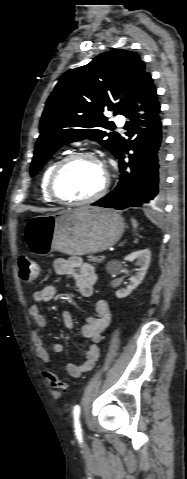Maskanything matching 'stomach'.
<instances>
[{
    "label": "stomach",
    "instance_id": "0dacf381",
    "mask_svg": "<svg viewBox=\"0 0 187 479\" xmlns=\"http://www.w3.org/2000/svg\"><path fill=\"white\" fill-rule=\"evenodd\" d=\"M123 232L124 220L117 212L92 206L33 216L25 224L27 245L40 256L53 251L68 255L102 252L116 244Z\"/></svg>",
    "mask_w": 187,
    "mask_h": 479
}]
</instances>
